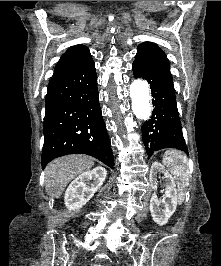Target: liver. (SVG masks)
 <instances>
[{
  "label": "liver",
  "instance_id": "liver-1",
  "mask_svg": "<svg viewBox=\"0 0 221 266\" xmlns=\"http://www.w3.org/2000/svg\"><path fill=\"white\" fill-rule=\"evenodd\" d=\"M93 165L94 159L87 155H68L55 159L45 169L46 193L59 198L72 179Z\"/></svg>",
  "mask_w": 221,
  "mask_h": 266
}]
</instances>
